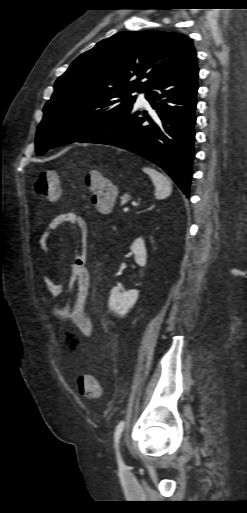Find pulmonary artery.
<instances>
[{
  "label": "pulmonary artery",
  "mask_w": 247,
  "mask_h": 513,
  "mask_svg": "<svg viewBox=\"0 0 247 513\" xmlns=\"http://www.w3.org/2000/svg\"><path fill=\"white\" fill-rule=\"evenodd\" d=\"M136 95H137L138 102L143 103V104H145L147 102L146 98H145V92L139 91L136 93Z\"/></svg>",
  "instance_id": "e3ab8cb5"
}]
</instances>
